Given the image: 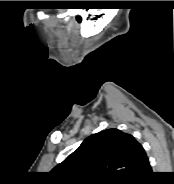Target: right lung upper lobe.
Instances as JSON below:
<instances>
[{
	"label": "right lung upper lobe",
	"mask_w": 174,
	"mask_h": 184,
	"mask_svg": "<svg viewBox=\"0 0 174 184\" xmlns=\"http://www.w3.org/2000/svg\"><path fill=\"white\" fill-rule=\"evenodd\" d=\"M147 161L132 135L112 128L86 138L52 172L65 184H116L133 178Z\"/></svg>",
	"instance_id": "1"
}]
</instances>
